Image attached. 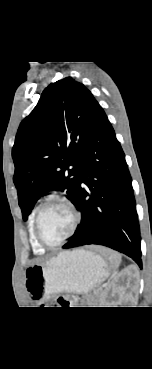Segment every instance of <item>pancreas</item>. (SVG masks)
Here are the masks:
<instances>
[{
  "instance_id": "cf45deb5",
  "label": "pancreas",
  "mask_w": 152,
  "mask_h": 369,
  "mask_svg": "<svg viewBox=\"0 0 152 369\" xmlns=\"http://www.w3.org/2000/svg\"><path fill=\"white\" fill-rule=\"evenodd\" d=\"M101 300V294L99 291H96L93 293V295H91L88 299V304L90 305H95L98 304V302H100Z\"/></svg>"
}]
</instances>
